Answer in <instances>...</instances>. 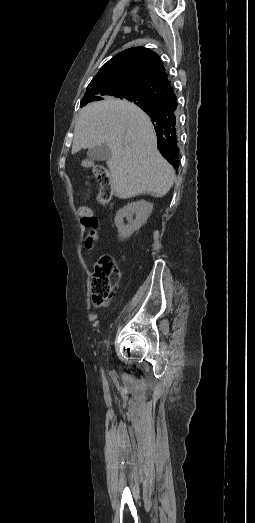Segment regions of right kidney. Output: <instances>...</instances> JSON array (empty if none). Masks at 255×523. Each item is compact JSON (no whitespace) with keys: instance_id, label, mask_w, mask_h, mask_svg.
<instances>
[{"instance_id":"obj_1","label":"right kidney","mask_w":255,"mask_h":523,"mask_svg":"<svg viewBox=\"0 0 255 523\" xmlns=\"http://www.w3.org/2000/svg\"><path fill=\"white\" fill-rule=\"evenodd\" d=\"M152 210V204L145 202V200L132 202V204H127V206L118 210L115 216V226L118 228L119 238L125 240V238L132 236L136 230H140L141 226H143L147 218H149ZM133 214H135V220L132 218ZM123 218H127L129 222L127 226L123 224Z\"/></svg>"}]
</instances>
